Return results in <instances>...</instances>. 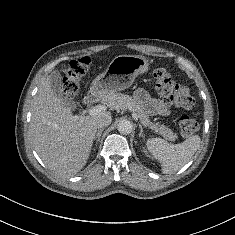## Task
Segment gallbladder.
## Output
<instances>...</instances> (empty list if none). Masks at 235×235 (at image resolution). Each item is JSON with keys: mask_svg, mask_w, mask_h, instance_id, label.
I'll return each mask as SVG.
<instances>
[{"mask_svg": "<svg viewBox=\"0 0 235 235\" xmlns=\"http://www.w3.org/2000/svg\"><path fill=\"white\" fill-rule=\"evenodd\" d=\"M51 82H52L53 89L56 91L57 100L61 104L70 108L71 110H75L77 107L75 102L66 100L62 95V91H59L61 87V79H60V74L58 72H54L51 74Z\"/></svg>", "mask_w": 235, "mask_h": 235, "instance_id": "gallbladder-1", "label": "gallbladder"}]
</instances>
